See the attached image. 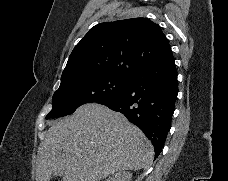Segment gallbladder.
Here are the masks:
<instances>
[{"mask_svg":"<svg viewBox=\"0 0 228 181\" xmlns=\"http://www.w3.org/2000/svg\"><path fill=\"white\" fill-rule=\"evenodd\" d=\"M56 177H61V173H55Z\"/></svg>","mask_w":228,"mask_h":181,"instance_id":"obj_1","label":"gallbladder"}]
</instances>
